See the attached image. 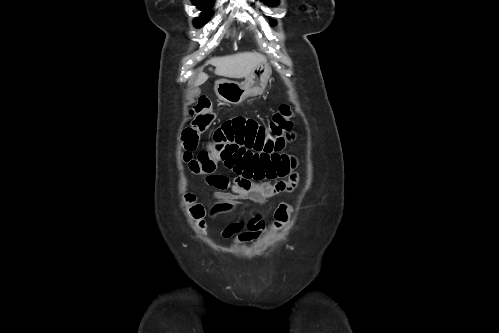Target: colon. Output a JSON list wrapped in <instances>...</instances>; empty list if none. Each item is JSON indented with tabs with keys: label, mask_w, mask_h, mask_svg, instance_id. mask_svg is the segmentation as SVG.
<instances>
[{
	"label": "colon",
	"mask_w": 499,
	"mask_h": 333,
	"mask_svg": "<svg viewBox=\"0 0 499 333\" xmlns=\"http://www.w3.org/2000/svg\"><path fill=\"white\" fill-rule=\"evenodd\" d=\"M192 114L194 120L192 125L182 133L183 160L189 170L194 174H211L215 171L220 160L214 142L208 149L200 151L196 156L193 154L199 144V136L206 130L212 122L211 103L209 99L199 98L193 107ZM291 108L283 104L273 114L268 122L267 131L273 138L284 136L292 129ZM186 201L192 217L203 224L205 216L204 208L199 204L193 195H188ZM292 207L288 204H281L275 211V225L283 226L289 219Z\"/></svg>",
	"instance_id": "5ec220e1"
}]
</instances>
